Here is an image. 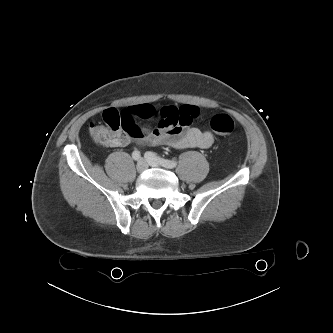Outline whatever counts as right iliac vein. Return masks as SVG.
Listing matches in <instances>:
<instances>
[{
    "mask_svg": "<svg viewBox=\"0 0 333 333\" xmlns=\"http://www.w3.org/2000/svg\"><path fill=\"white\" fill-rule=\"evenodd\" d=\"M136 168L138 173H142L147 168V162L144 159L139 160Z\"/></svg>",
    "mask_w": 333,
    "mask_h": 333,
    "instance_id": "63e3f726",
    "label": "right iliac vein"
}]
</instances>
